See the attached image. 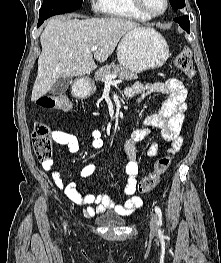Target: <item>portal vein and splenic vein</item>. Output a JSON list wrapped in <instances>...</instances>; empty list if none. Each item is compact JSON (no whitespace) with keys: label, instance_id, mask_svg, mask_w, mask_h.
<instances>
[{"label":"portal vein and splenic vein","instance_id":"18ae733b","mask_svg":"<svg viewBox=\"0 0 221 263\" xmlns=\"http://www.w3.org/2000/svg\"><path fill=\"white\" fill-rule=\"evenodd\" d=\"M97 49H98V46H92V47H91V51H92V52H95ZM116 77H117V75H109V76H107V78H106V82H107V83H111L112 80L115 79Z\"/></svg>","mask_w":221,"mask_h":263}]
</instances>
